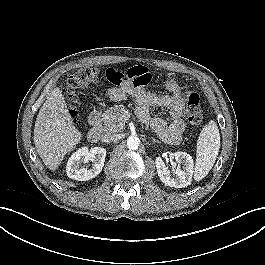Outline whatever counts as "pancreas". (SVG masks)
I'll return each mask as SVG.
<instances>
[{"label": "pancreas", "instance_id": "cf45deb5", "mask_svg": "<svg viewBox=\"0 0 265 265\" xmlns=\"http://www.w3.org/2000/svg\"><path fill=\"white\" fill-rule=\"evenodd\" d=\"M125 111L124 106L115 105L106 110L101 120V129L104 133H118L125 128V122L122 114Z\"/></svg>", "mask_w": 265, "mask_h": 265}]
</instances>
